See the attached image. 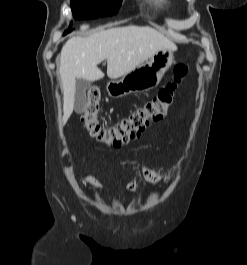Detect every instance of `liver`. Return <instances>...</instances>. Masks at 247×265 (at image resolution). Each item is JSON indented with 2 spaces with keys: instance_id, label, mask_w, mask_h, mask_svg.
Here are the masks:
<instances>
[{
  "instance_id": "liver-1",
  "label": "liver",
  "mask_w": 247,
  "mask_h": 265,
  "mask_svg": "<svg viewBox=\"0 0 247 265\" xmlns=\"http://www.w3.org/2000/svg\"><path fill=\"white\" fill-rule=\"evenodd\" d=\"M161 49L176 45L148 26L128 25L103 30L88 37H72L62 47L60 75L63 91V124L74 108L76 80L97 81L104 77L98 64L107 60V75L117 79L147 61Z\"/></svg>"
}]
</instances>
